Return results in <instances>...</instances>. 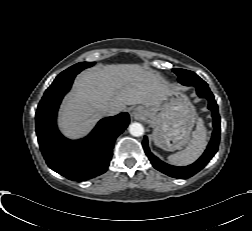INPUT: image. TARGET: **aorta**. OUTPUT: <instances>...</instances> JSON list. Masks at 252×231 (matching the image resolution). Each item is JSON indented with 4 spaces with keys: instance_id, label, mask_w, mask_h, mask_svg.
I'll return each mask as SVG.
<instances>
[{
    "instance_id": "1",
    "label": "aorta",
    "mask_w": 252,
    "mask_h": 231,
    "mask_svg": "<svg viewBox=\"0 0 252 231\" xmlns=\"http://www.w3.org/2000/svg\"><path fill=\"white\" fill-rule=\"evenodd\" d=\"M129 132L134 137H140L144 133V127L138 122L129 125Z\"/></svg>"
}]
</instances>
